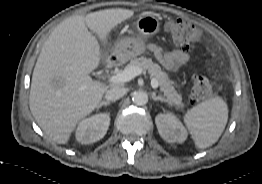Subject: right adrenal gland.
<instances>
[{"label": "right adrenal gland", "mask_w": 262, "mask_h": 184, "mask_svg": "<svg viewBox=\"0 0 262 184\" xmlns=\"http://www.w3.org/2000/svg\"><path fill=\"white\" fill-rule=\"evenodd\" d=\"M109 105H110V101H101L97 109L101 108L102 106H109Z\"/></svg>", "instance_id": "1"}]
</instances>
